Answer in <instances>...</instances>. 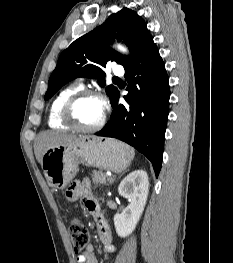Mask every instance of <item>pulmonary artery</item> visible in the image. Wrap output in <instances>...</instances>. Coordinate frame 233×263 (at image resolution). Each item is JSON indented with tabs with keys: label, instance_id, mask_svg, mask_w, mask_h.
Returning a JSON list of instances; mask_svg holds the SVG:
<instances>
[{
	"label": "pulmonary artery",
	"instance_id": "obj_1",
	"mask_svg": "<svg viewBox=\"0 0 233 263\" xmlns=\"http://www.w3.org/2000/svg\"><path fill=\"white\" fill-rule=\"evenodd\" d=\"M113 73L117 76H122L124 74V68L121 65L116 64L113 68ZM82 81V79H79L80 85H82Z\"/></svg>",
	"mask_w": 233,
	"mask_h": 263
}]
</instances>
